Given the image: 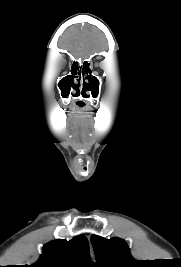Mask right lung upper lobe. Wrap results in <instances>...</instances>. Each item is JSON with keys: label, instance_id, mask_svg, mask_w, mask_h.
<instances>
[{"label": "right lung upper lobe", "instance_id": "right-lung-upper-lobe-1", "mask_svg": "<svg viewBox=\"0 0 181 267\" xmlns=\"http://www.w3.org/2000/svg\"><path fill=\"white\" fill-rule=\"evenodd\" d=\"M33 267H91L89 246L85 236L79 235L70 241L53 240L42 249L39 260Z\"/></svg>", "mask_w": 181, "mask_h": 267}]
</instances>
